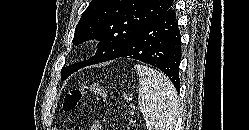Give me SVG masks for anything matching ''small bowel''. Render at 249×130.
Returning <instances> with one entry per match:
<instances>
[{"label": "small bowel", "mask_w": 249, "mask_h": 130, "mask_svg": "<svg viewBox=\"0 0 249 130\" xmlns=\"http://www.w3.org/2000/svg\"><path fill=\"white\" fill-rule=\"evenodd\" d=\"M91 130H102L100 123L95 121L91 126Z\"/></svg>", "instance_id": "obj_1"}]
</instances>
